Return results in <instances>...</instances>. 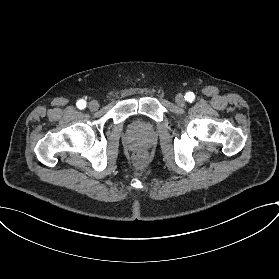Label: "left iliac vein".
<instances>
[{"instance_id": "4c4485c4", "label": "left iliac vein", "mask_w": 279, "mask_h": 279, "mask_svg": "<svg viewBox=\"0 0 279 279\" xmlns=\"http://www.w3.org/2000/svg\"><path fill=\"white\" fill-rule=\"evenodd\" d=\"M175 102L178 106L184 107L186 105L185 98L182 94H177L175 97Z\"/></svg>"}]
</instances>
